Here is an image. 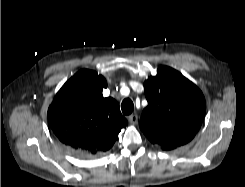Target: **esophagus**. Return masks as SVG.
Listing matches in <instances>:
<instances>
[{
  "label": "esophagus",
  "instance_id": "esophagus-1",
  "mask_svg": "<svg viewBox=\"0 0 245 187\" xmlns=\"http://www.w3.org/2000/svg\"><path fill=\"white\" fill-rule=\"evenodd\" d=\"M128 121L131 123V124H134L136 125L138 123V116L137 114H131L128 116Z\"/></svg>",
  "mask_w": 245,
  "mask_h": 187
}]
</instances>
